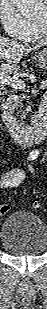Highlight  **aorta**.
<instances>
[{
	"instance_id": "762f6f07",
	"label": "aorta",
	"mask_w": 47,
	"mask_h": 309,
	"mask_svg": "<svg viewBox=\"0 0 47 309\" xmlns=\"http://www.w3.org/2000/svg\"><path fill=\"white\" fill-rule=\"evenodd\" d=\"M13 2L25 17L33 15L37 10V0H13Z\"/></svg>"
}]
</instances>
